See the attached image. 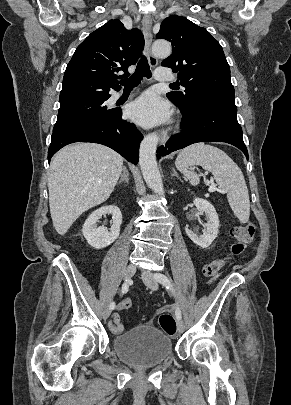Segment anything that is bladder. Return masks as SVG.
Returning a JSON list of instances; mask_svg holds the SVG:
<instances>
[{
    "label": "bladder",
    "instance_id": "1",
    "mask_svg": "<svg viewBox=\"0 0 291 405\" xmlns=\"http://www.w3.org/2000/svg\"><path fill=\"white\" fill-rule=\"evenodd\" d=\"M112 348L127 365L146 369L163 363L172 353L170 337L151 325H139L112 340Z\"/></svg>",
    "mask_w": 291,
    "mask_h": 405
}]
</instances>
